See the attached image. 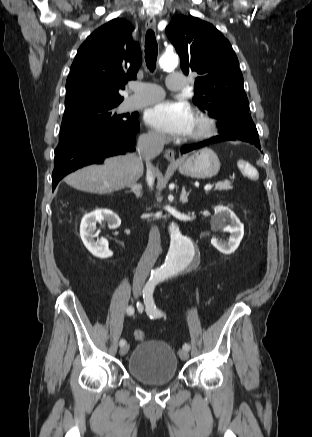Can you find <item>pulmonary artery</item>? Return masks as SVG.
I'll return each mask as SVG.
<instances>
[{"instance_id":"obj_1","label":"pulmonary artery","mask_w":312,"mask_h":437,"mask_svg":"<svg viewBox=\"0 0 312 437\" xmlns=\"http://www.w3.org/2000/svg\"><path fill=\"white\" fill-rule=\"evenodd\" d=\"M186 78L183 74L173 73L167 78V87L171 90H180L186 86ZM134 95L129 99L128 109H138L160 101L165 93L164 90L154 84L137 83L134 87Z\"/></svg>"}]
</instances>
